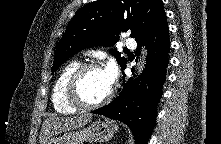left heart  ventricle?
Instances as JSON below:
<instances>
[{
    "mask_svg": "<svg viewBox=\"0 0 221 144\" xmlns=\"http://www.w3.org/2000/svg\"><path fill=\"white\" fill-rule=\"evenodd\" d=\"M110 88L102 69L88 71L80 83L81 95L84 100L90 103L101 100L109 92Z\"/></svg>",
    "mask_w": 221,
    "mask_h": 144,
    "instance_id": "1",
    "label": "left heart ventricle"
}]
</instances>
